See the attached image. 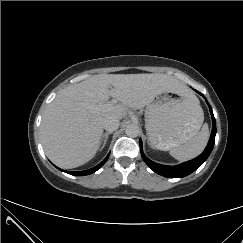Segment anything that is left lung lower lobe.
<instances>
[{"instance_id": "1", "label": "left lung lower lobe", "mask_w": 243, "mask_h": 243, "mask_svg": "<svg viewBox=\"0 0 243 243\" xmlns=\"http://www.w3.org/2000/svg\"><path fill=\"white\" fill-rule=\"evenodd\" d=\"M198 93L200 95H202L200 92H198ZM207 104L209 106V110H210L211 117H212V123H213L212 132H211V136H210L208 145L205 148L204 152L201 155H199L198 157H196L195 159L190 160V161L185 162V163H182V164L177 165V166H165V165L157 164V163L149 160L144 155V153L142 151V142L140 140L141 156H142L143 160L145 161V163L154 172L158 173L159 175H162V176H165V177H170V178L185 177V176L191 174L192 172H194L198 167H200L202 165V163L204 161H206V159L208 158V156L210 155V153L213 149V146H214V143H215V135H216V120L214 118L211 106L209 105L208 102H207Z\"/></svg>"}]
</instances>
